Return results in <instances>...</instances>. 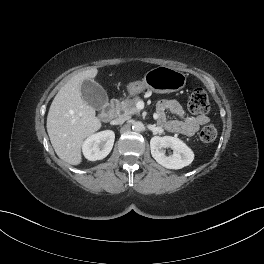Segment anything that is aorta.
Segmentation results:
<instances>
[{"label":"aorta","mask_w":264,"mask_h":264,"mask_svg":"<svg viewBox=\"0 0 264 264\" xmlns=\"http://www.w3.org/2000/svg\"><path fill=\"white\" fill-rule=\"evenodd\" d=\"M132 129L135 131V132H141L144 130V125L142 122L140 121H136L133 123V126H132Z\"/></svg>","instance_id":"762f6f07"}]
</instances>
